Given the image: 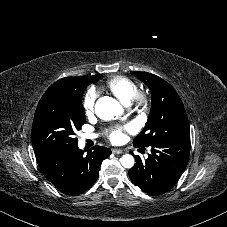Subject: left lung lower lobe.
<instances>
[{
  "mask_svg": "<svg viewBox=\"0 0 227 227\" xmlns=\"http://www.w3.org/2000/svg\"><path fill=\"white\" fill-rule=\"evenodd\" d=\"M147 147L151 149L147 159L133 155L136 163L129 170V176L144 192L161 195L169 191L183 174L189 159L190 140L158 142Z\"/></svg>",
  "mask_w": 227,
  "mask_h": 227,
  "instance_id": "1",
  "label": "left lung lower lobe"
}]
</instances>
